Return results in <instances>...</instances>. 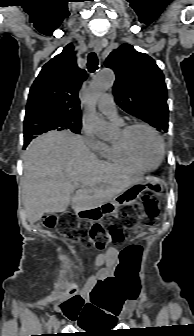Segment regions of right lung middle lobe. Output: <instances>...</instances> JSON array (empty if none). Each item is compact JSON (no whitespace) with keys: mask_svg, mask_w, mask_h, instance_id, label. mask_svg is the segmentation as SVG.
I'll return each instance as SVG.
<instances>
[{"mask_svg":"<svg viewBox=\"0 0 194 336\" xmlns=\"http://www.w3.org/2000/svg\"><path fill=\"white\" fill-rule=\"evenodd\" d=\"M81 124L80 123H70L65 121H49V120H39L33 122L30 125H24V137L28 134L38 133L45 130H57L61 131L64 129L71 130L72 132L79 134ZM45 133V132H44Z\"/></svg>","mask_w":194,"mask_h":336,"instance_id":"dd1d6c3e","label":"right lung middle lobe"}]
</instances>
